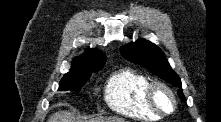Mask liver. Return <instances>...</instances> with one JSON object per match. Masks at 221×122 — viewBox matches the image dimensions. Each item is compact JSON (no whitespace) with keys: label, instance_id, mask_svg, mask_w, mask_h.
<instances>
[{"label":"liver","instance_id":"6515ba94","mask_svg":"<svg viewBox=\"0 0 221 122\" xmlns=\"http://www.w3.org/2000/svg\"><path fill=\"white\" fill-rule=\"evenodd\" d=\"M48 122H76L74 114L69 111H59L54 113L48 119ZM91 122H127L123 118H104L99 117L93 119Z\"/></svg>","mask_w":221,"mask_h":122}]
</instances>
